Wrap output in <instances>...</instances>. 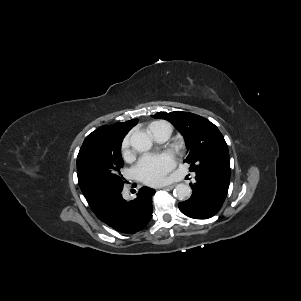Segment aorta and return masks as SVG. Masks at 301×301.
Returning <instances> with one entry per match:
<instances>
[{"label":"aorta","instance_id":"obj_1","mask_svg":"<svg viewBox=\"0 0 301 301\" xmlns=\"http://www.w3.org/2000/svg\"><path fill=\"white\" fill-rule=\"evenodd\" d=\"M130 142L131 146L139 152H146L152 147V140L144 132H134ZM174 196L179 200H186L191 196V188L183 183L178 184L174 189Z\"/></svg>","mask_w":301,"mask_h":301}]
</instances>
